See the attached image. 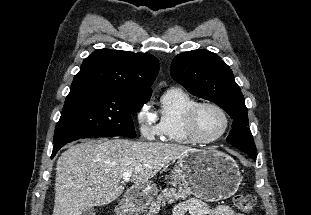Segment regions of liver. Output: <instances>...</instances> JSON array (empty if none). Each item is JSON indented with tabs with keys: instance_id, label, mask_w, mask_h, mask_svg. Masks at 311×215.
Returning a JSON list of instances; mask_svg holds the SVG:
<instances>
[{
	"instance_id": "liver-1",
	"label": "liver",
	"mask_w": 311,
	"mask_h": 215,
	"mask_svg": "<svg viewBox=\"0 0 311 215\" xmlns=\"http://www.w3.org/2000/svg\"><path fill=\"white\" fill-rule=\"evenodd\" d=\"M193 150L180 144L126 139L70 145L57 161L53 215H81L94 206L109 204L123 193L120 180L124 172L132 173L134 188Z\"/></svg>"
}]
</instances>
